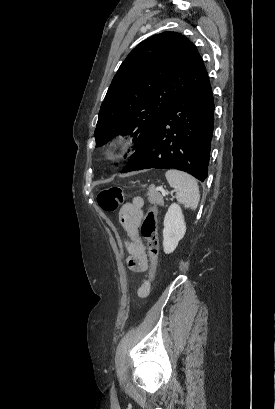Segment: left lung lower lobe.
<instances>
[{
	"mask_svg": "<svg viewBox=\"0 0 275 409\" xmlns=\"http://www.w3.org/2000/svg\"><path fill=\"white\" fill-rule=\"evenodd\" d=\"M214 109L207 75L166 111L121 173L174 168L204 181L210 158Z\"/></svg>",
	"mask_w": 275,
	"mask_h": 409,
	"instance_id": "0a47b994",
	"label": "left lung lower lobe"
}]
</instances>
